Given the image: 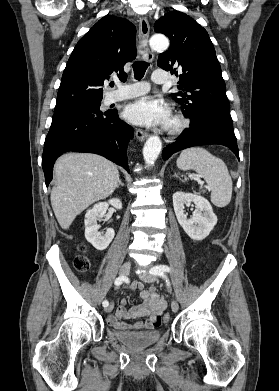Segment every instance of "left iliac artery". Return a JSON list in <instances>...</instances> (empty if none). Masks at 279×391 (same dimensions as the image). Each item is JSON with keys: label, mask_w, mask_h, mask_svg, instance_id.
<instances>
[{"label": "left iliac artery", "mask_w": 279, "mask_h": 391, "mask_svg": "<svg viewBox=\"0 0 279 391\" xmlns=\"http://www.w3.org/2000/svg\"><path fill=\"white\" fill-rule=\"evenodd\" d=\"M165 272H170V268L167 265H158L150 270L151 274L158 275L160 277H165Z\"/></svg>", "instance_id": "1"}]
</instances>
